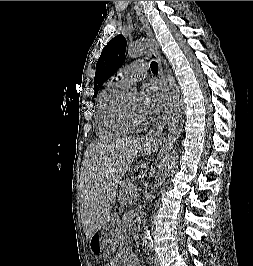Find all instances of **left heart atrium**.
<instances>
[{"mask_svg":"<svg viewBox=\"0 0 253 266\" xmlns=\"http://www.w3.org/2000/svg\"><path fill=\"white\" fill-rule=\"evenodd\" d=\"M165 103V93L161 86L148 83L143 86L139 96V107L143 117L151 118L157 115Z\"/></svg>","mask_w":253,"mask_h":266,"instance_id":"39dd6f15","label":"left heart atrium"}]
</instances>
